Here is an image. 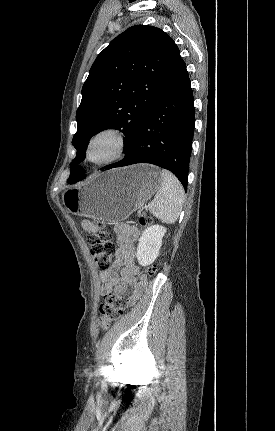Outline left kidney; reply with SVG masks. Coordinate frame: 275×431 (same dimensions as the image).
<instances>
[{
  "label": "left kidney",
  "mask_w": 275,
  "mask_h": 431,
  "mask_svg": "<svg viewBox=\"0 0 275 431\" xmlns=\"http://www.w3.org/2000/svg\"><path fill=\"white\" fill-rule=\"evenodd\" d=\"M165 233L166 228L161 225H152L142 232L136 253L140 265L147 266L156 260Z\"/></svg>",
  "instance_id": "5707ae66"
}]
</instances>
